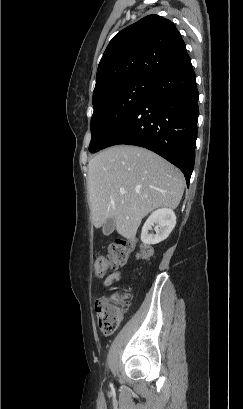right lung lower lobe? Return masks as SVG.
Masks as SVG:
<instances>
[{
    "mask_svg": "<svg viewBox=\"0 0 243 409\" xmlns=\"http://www.w3.org/2000/svg\"><path fill=\"white\" fill-rule=\"evenodd\" d=\"M198 115L196 76L186 53L156 81L106 147L130 144L147 148L177 166L189 185Z\"/></svg>",
    "mask_w": 243,
    "mask_h": 409,
    "instance_id": "obj_1",
    "label": "right lung lower lobe"
}]
</instances>
